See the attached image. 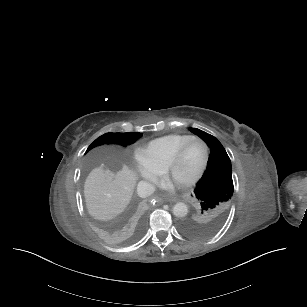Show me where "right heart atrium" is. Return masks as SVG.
Listing matches in <instances>:
<instances>
[{"label": "right heart atrium", "instance_id": "right-heart-atrium-1", "mask_svg": "<svg viewBox=\"0 0 307 307\" xmlns=\"http://www.w3.org/2000/svg\"><path fill=\"white\" fill-rule=\"evenodd\" d=\"M135 161H136V170L141 177L150 180H157L160 177L161 171L159 168L148 164L142 158L137 156H135Z\"/></svg>", "mask_w": 307, "mask_h": 307}]
</instances>
